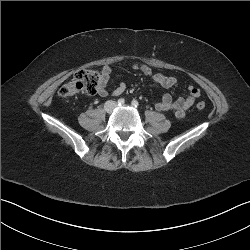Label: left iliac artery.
Instances as JSON below:
<instances>
[{
	"instance_id": "obj_1",
	"label": "left iliac artery",
	"mask_w": 250,
	"mask_h": 250,
	"mask_svg": "<svg viewBox=\"0 0 250 250\" xmlns=\"http://www.w3.org/2000/svg\"><path fill=\"white\" fill-rule=\"evenodd\" d=\"M132 106L138 107V106H139L138 101H137V100H133V101H132Z\"/></svg>"
}]
</instances>
